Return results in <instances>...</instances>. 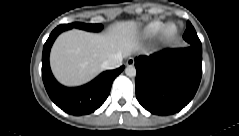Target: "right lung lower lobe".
<instances>
[{
  "label": "right lung lower lobe",
  "mask_w": 239,
  "mask_h": 136,
  "mask_svg": "<svg viewBox=\"0 0 239 136\" xmlns=\"http://www.w3.org/2000/svg\"><path fill=\"white\" fill-rule=\"evenodd\" d=\"M64 31L55 28L43 47L42 78L51 100L63 111L72 115H85L94 112L107 99L113 80L123 71L124 66L101 73L94 80L80 87L67 88L53 77L49 66V53L56 37Z\"/></svg>",
  "instance_id": "right-lung-lower-lobe-1"
}]
</instances>
